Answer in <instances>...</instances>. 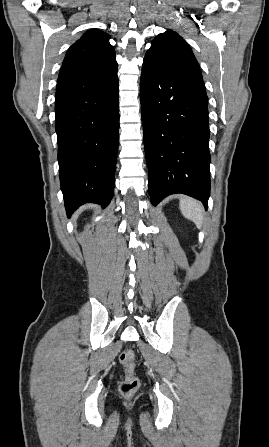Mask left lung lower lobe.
I'll use <instances>...</instances> for the list:
<instances>
[{
	"label": "left lung lower lobe",
	"instance_id": "left-lung-lower-lobe-1",
	"mask_svg": "<svg viewBox=\"0 0 269 447\" xmlns=\"http://www.w3.org/2000/svg\"><path fill=\"white\" fill-rule=\"evenodd\" d=\"M140 100L152 204L182 193L202 201L207 209L211 158L202 77L147 54Z\"/></svg>",
	"mask_w": 269,
	"mask_h": 447
}]
</instances>
